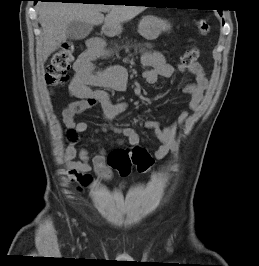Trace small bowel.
Segmentation results:
<instances>
[{
    "label": "small bowel",
    "instance_id": "obj_1",
    "mask_svg": "<svg viewBox=\"0 0 259 266\" xmlns=\"http://www.w3.org/2000/svg\"><path fill=\"white\" fill-rule=\"evenodd\" d=\"M105 55L102 42L98 39L91 41L89 49L82 53L74 64V77L69 85V91L74 98L62 111L63 122L67 128L75 131L72 143L66 149V156L73 160L78 155V160L70 163V177L75 181L80 189L91 187L94 184V177L91 175L93 170L96 177L102 181L112 178L113 168L108 164V158L103 150L99 151L90 158L88 150L82 148L77 152L75 144L78 135L88 130L86 122H77L76 116L83 111L94 107L96 104L101 106L103 118L107 121L114 119L117 115L124 112L127 108L125 102H113L106 89L121 91L125 89L128 75L125 68L121 66H111L103 70H96L94 62L96 59ZM141 63L147 68L143 73L145 81L149 84L157 82L159 77L170 78L175 70L179 72H190L194 75V82L187 84L183 91L190 96L188 109L197 110L203 95L207 89L208 80L202 65L195 62L191 65L178 64L176 68L166 61L165 56L158 51H142ZM188 117V111H179L175 121L162 126L155 120H146L144 125L152 130L158 141L159 148L154 153V159L161 160L177 148L175 133L178 125H182ZM111 129L123 136L132 146L140 143L139 134L130 127H111ZM103 131L106 128L102 129Z\"/></svg>",
    "mask_w": 259,
    "mask_h": 266
}]
</instances>
